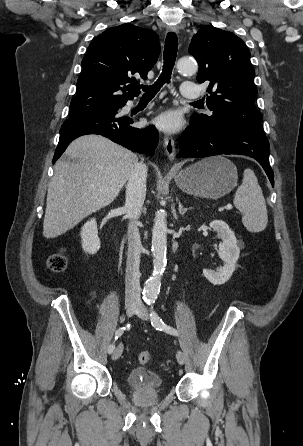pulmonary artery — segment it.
<instances>
[{"label":"pulmonary artery","mask_w":303,"mask_h":446,"mask_svg":"<svg viewBox=\"0 0 303 446\" xmlns=\"http://www.w3.org/2000/svg\"><path fill=\"white\" fill-rule=\"evenodd\" d=\"M181 90L183 97L188 100H197L201 96L199 87L192 82H184Z\"/></svg>","instance_id":"pulmonary-artery-1"}]
</instances>
